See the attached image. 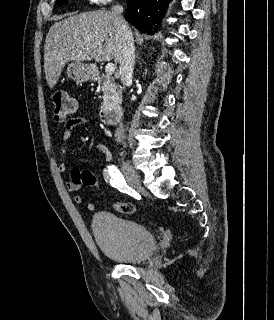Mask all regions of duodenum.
Returning <instances> with one entry per match:
<instances>
[{
  "label": "duodenum",
  "mask_w": 274,
  "mask_h": 320,
  "mask_svg": "<svg viewBox=\"0 0 274 320\" xmlns=\"http://www.w3.org/2000/svg\"><path fill=\"white\" fill-rule=\"evenodd\" d=\"M95 77H98L97 75ZM123 114L122 107L112 106L101 111V119L104 123L114 124L120 121Z\"/></svg>",
  "instance_id": "410a0bca"
}]
</instances>
